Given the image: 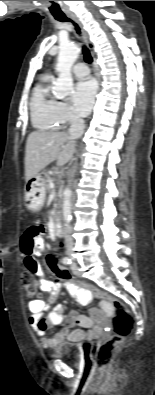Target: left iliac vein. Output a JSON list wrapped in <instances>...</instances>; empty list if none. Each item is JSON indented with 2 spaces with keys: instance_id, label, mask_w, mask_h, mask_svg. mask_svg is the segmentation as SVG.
Returning <instances> with one entry per match:
<instances>
[{
  "instance_id": "4c4485c4",
  "label": "left iliac vein",
  "mask_w": 155,
  "mask_h": 395,
  "mask_svg": "<svg viewBox=\"0 0 155 395\" xmlns=\"http://www.w3.org/2000/svg\"><path fill=\"white\" fill-rule=\"evenodd\" d=\"M71 270H72V273H73L74 275L79 276V270H78V267H77L76 262H73V263H72V265H71Z\"/></svg>"
}]
</instances>
